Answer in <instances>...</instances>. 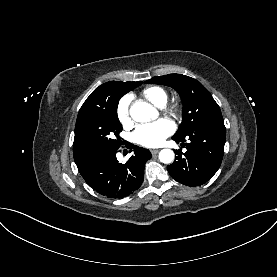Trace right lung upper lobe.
I'll list each match as a JSON object with an SVG mask.
<instances>
[{"label":"right lung upper lobe","instance_id":"obj_1","mask_svg":"<svg viewBox=\"0 0 277 277\" xmlns=\"http://www.w3.org/2000/svg\"><path fill=\"white\" fill-rule=\"evenodd\" d=\"M140 83L142 84V82L109 81L107 83L100 85L90 94V96L83 103L78 113L77 119L81 118L82 116H84L85 114L91 111L105 108L111 98V95H110L111 88L115 86H122L132 90L138 87L139 85H141ZM74 160L76 163L81 161L79 159H76L75 157H74Z\"/></svg>","mask_w":277,"mask_h":277}]
</instances>
